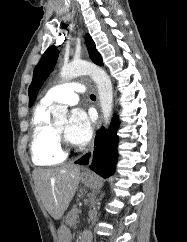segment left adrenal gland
Segmentation results:
<instances>
[{
	"instance_id": "obj_1",
	"label": "left adrenal gland",
	"mask_w": 187,
	"mask_h": 242,
	"mask_svg": "<svg viewBox=\"0 0 187 242\" xmlns=\"http://www.w3.org/2000/svg\"><path fill=\"white\" fill-rule=\"evenodd\" d=\"M96 203V193H94L91 197V206H94Z\"/></svg>"
}]
</instances>
